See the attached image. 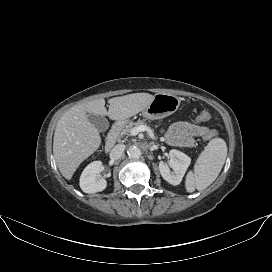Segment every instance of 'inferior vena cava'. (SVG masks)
Listing matches in <instances>:
<instances>
[{"label": "inferior vena cava", "instance_id": "inferior-vena-cava-1", "mask_svg": "<svg viewBox=\"0 0 272 272\" xmlns=\"http://www.w3.org/2000/svg\"><path fill=\"white\" fill-rule=\"evenodd\" d=\"M124 150H125L124 144H118V145L114 146L110 152V159L117 160V159L121 158Z\"/></svg>", "mask_w": 272, "mask_h": 272}]
</instances>
